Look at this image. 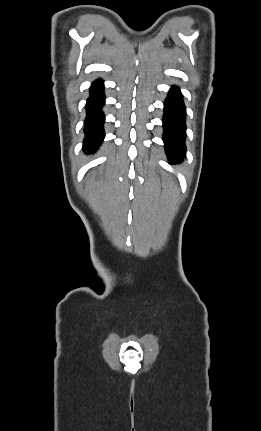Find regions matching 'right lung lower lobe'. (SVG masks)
<instances>
[{
  "instance_id": "98d812e1",
  "label": "right lung lower lobe",
  "mask_w": 261,
  "mask_h": 431,
  "mask_svg": "<svg viewBox=\"0 0 261 431\" xmlns=\"http://www.w3.org/2000/svg\"><path fill=\"white\" fill-rule=\"evenodd\" d=\"M104 85L101 79L96 80L90 88V96L86 104V119L84 127V147L83 151L87 154L94 153L98 150L102 140L105 137L104 113L102 107L105 103Z\"/></svg>"
}]
</instances>
